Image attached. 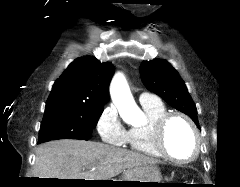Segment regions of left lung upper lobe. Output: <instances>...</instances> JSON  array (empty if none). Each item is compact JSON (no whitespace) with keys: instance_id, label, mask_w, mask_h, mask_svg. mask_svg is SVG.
<instances>
[{"instance_id":"left-lung-upper-lobe-1","label":"left lung upper lobe","mask_w":240,"mask_h":187,"mask_svg":"<svg viewBox=\"0 0 240 187\" xmlns=\"http://www.w3.org/2000/svg\"><path fill=\"white\" fill-rule=\"evenodd\" d=\"M141 79L146 88L170 106L188 115L199 127L197 108L178 72L165 60L143 61Z\"/></svg>"}]
</instances>
